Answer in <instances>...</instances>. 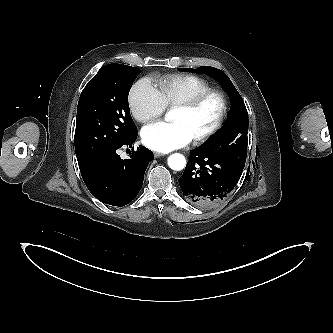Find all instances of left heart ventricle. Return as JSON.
<instances>
[{
  "label": "left heart ventricle",
  "mask_w": 333,
  "mask_h": 333,
  "mask_svg": "<svg viewBox=\"0 0 333 333\" xmlns=\"http://www.w3.org/2000/svg\"><path fill=\"white\" fill-rule=\"evenodd\" d=\"M220 112V100L211 97L194 111L175 109L172 121L183 124L193 139L207 132L216 123Z\"/></svg>",
  "instance_id": "obj_1"
}]
</instances>
